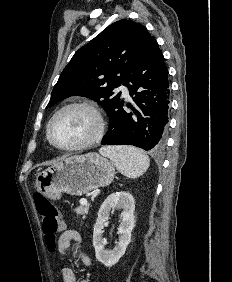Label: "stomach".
<instances>
[{
	"label": "stomach",
	"mask_w": 232,
	"mask_h": 282,
	"mask_svg": "<svg viewBox=\"0 0 232 282\" xmlns=\"http://www.w3.org/2000/svg\"><path fill=\"white\" fill-rule=\"evenodd\" d=\"M114 174L113 163L99 154L75 155L63 158L38 173L35 188L53 200L60 199L62 193L82 196L109 185Z\"/></svg>",
	"instance_id": "1"
}]
</instances>
